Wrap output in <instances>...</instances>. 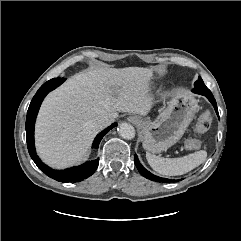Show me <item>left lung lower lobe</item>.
Listing matches in <instances>:
<instances>
[{
  "label": "left lung lower lobe",
  "instance_id": "1",
  "mask_svg": "<svg viewBox=\"0 0 241 241\" xmlns=\"http://www.w3.org/2000/svg\"><path fill=\"white\" fill-rule=\"evenodd\" d=\"M192 91L194 93L206 96L208 98V100L212 103V105L214 106V109H215V111H216V113L218 115V109H217L215 98L213 97L211 91L205 86V84H201L199 82H195L194 88H193ZM218 117H219V115H218ZM135 165L138 168V171L140 172V174L142 176H144L147 179H150L152 181H156V182H177V181H179V180H171V179H167V178H161V177H158V176H155V175L151 174L149 171H147L140 164L136 154H135Z\"/></svg>",
  "mask_w": 241,
  "mask_h": 241
}]
</instances>
